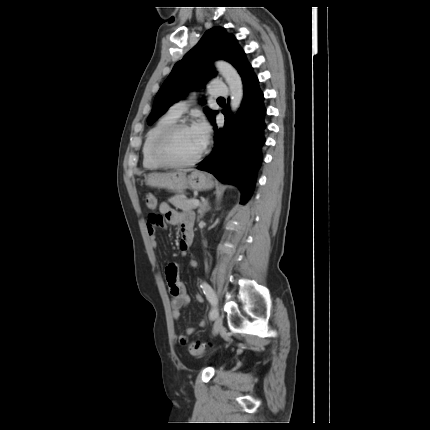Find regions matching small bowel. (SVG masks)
Wrapping results in <instances>:
<instances>
[{
  "instance_id": "small-bowel-1",
  "label": "small bowel",
  "mask_w": 430,
  "mask_h": 430,
  "mask_svg": "<svg viewBox=\"0 0 430 430\" xmlns=\"http://www.w3.org/2000/svg\"><path fill=\"white\" fill-rule=\"evenodd\" d=\"M159 211L162 214L157 216L159 220L156 216L152 215L148 218L147 222V232L151 246L153 248L157 247L156 231L158 228L165 227L166 224L176 225L179 227L181 232V239L179 242L181 255L186 257L188 255V249L193 241V214L189 211L175 210L167 202H162L159 205ZM189 265L196 268L199 265V261L196 258L191 257L189 259ZM166 279L172 297L171 305L173 318L177 320L180 316L181 310L189 304L190 298L186 293L183 283L178 278V266L176 264H170L166 268ZM196 301L198 303H202L204 301L203 296L197 294ZM204 325V321H201L199 324L200 327H203ZM195 331V327H187L184 333L179 334V343L182 345L186 344L188 341L187 336L195 333Z\"/></svg>"
}]
</instances>
